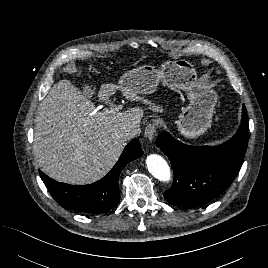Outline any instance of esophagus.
Masks as SVG:
<instances>
[{
	"instance_id": "1",
	"label": "esophagus",
	"mask_w": 268,
	"mask_h": 268,
	"mask_svg": "<svg viewBox=\"0 0 268 268\" xmlns=\"http://www.w3.org/2000/svg\"><path fill=\"white\" fill-rule=\"evenodd\" d=\"M157 124L156 123H150L146 126L144 135L147 140L151 141L154 139L156 134Z\"/></svg>"
}]
</instances>
